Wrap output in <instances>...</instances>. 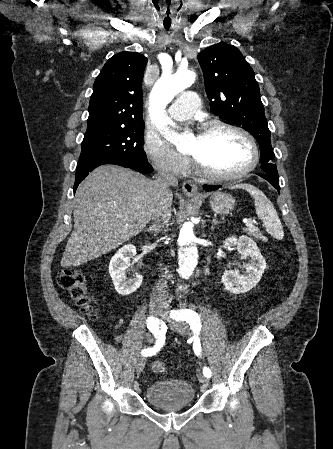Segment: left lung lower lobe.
Returning a JSON list of instances; mask_svg holds the SVG:
<instances>
[{
  "label": "left lung lower lobe",
  "mask_w": 333,
  "mask_h": 449,
  "mask_svg": "<svg viewBox=\"0 0 333 449\" xmlns=\"http://www.w3.org/2000/svg\"><path fill=\"white\" fill-rule=\"evenodd\" d=\"M257 175L261 176L262 178L266 179L267 181H269L278 191H280V187H279V178L278 177H272L266 174H261V173H257ZM221 186H210V185H205L204 189L206 191H213L216 190L218 188H220Z\"/></svg>",
  "instance_id": "0a47b994"
}]
</instances>
